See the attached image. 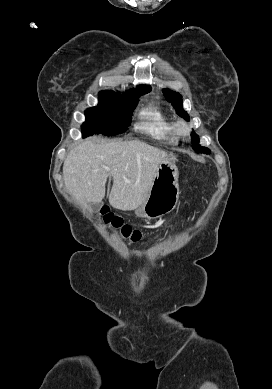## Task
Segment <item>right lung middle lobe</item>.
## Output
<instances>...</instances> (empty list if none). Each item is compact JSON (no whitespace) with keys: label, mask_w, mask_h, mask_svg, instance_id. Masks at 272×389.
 I'll return each instance as SVG.
<instances>
[{"label":"right lung middle lobe","mask_w":272,"mask_h":389,"mask_svg":"<svg viewBox=\"0 0 272 389\" xmlns=\"http://www.w3.org/2000/svg\"><path fill=\"white\" fill-rule=\"evenodd\" d=\"M140 95L124 96L100 92L98 105L85 111L86 122L81 126L82 136L93 134L111 136L126 131Z\"/></svg>","instance_id":"1"}]
</instances>
